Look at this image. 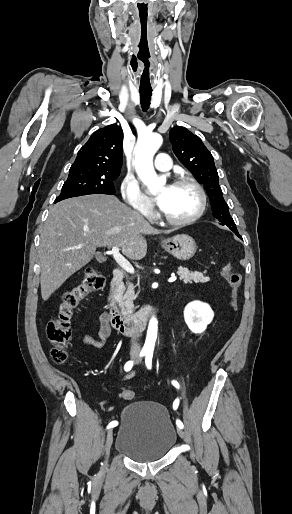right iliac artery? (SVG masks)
I'll list each match as a JSON object with an SVG mask.
<instances>
[{"instance_id":"right-iliac-artery-1","label":"right iliac artery","mask_w":292,"mask_h":514,"mask_svg":"<svg viewBox=\"0 0 292 514\" xmlns=\"http://www.w3.org/2000/svg\"><path fill=\"white\" fill-rule=\"evenodd\" d=\"M146 354H147V353H146L145 351H141V353H140V355H139V356H140V357H143V356H145ZM133 364H134V361H133V360H130V361L126 362V364L124 365V370H125L126 372L130 371V370L132 369V367H133ZM117 425H118V422H117V421H112V422H110V423L108 424L107 429L113 428V427H115V426H117Z\"/></svg>"}]
</instances>
